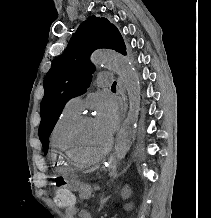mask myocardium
<instances>
[{
    "label": "myocardium",
    "instance_id": "1",
    "mask_svg": "<svg viewBox=\"0 0 211 218\" xmlns=\"http://www.w3.org/2000/svg\"><path fill=\"white\" fill-rule=\"evenodd\" d=\"M93 118L91 116H83L79 117L76 122L72 125L70 130L68 131L67 134V147H68V156L76 163L79 164H89L93 163L96 161H99L106 157L112 150L114 146V138L111 137V141L109 145L103 149L102 151L96 153V154H80L77 151V146H76V139L79 131L83 127V125L92 120Z\"/></svg>",
    "mask_w": 211,
    "mask_h": 218
}]
</instances>
